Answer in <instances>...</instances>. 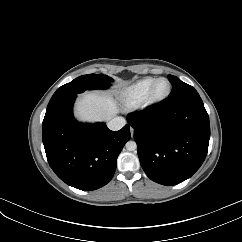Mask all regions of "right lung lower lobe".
<instances>
[{"instance_id": "right-lung-lower-lobe-1", "label": "right lung lower lobe", "mask_w": 242, "mask_h": 242, "mask_svg": "<svg viewBox=\"0 0 242 242\" xmlns=\"http://www.w3.org/2000/svg\"><path fill=\"white\" fill-rule=\"evenodd\" d=\"M77 94L50 102L42 124V139L50 167L66 184L91 191L106 185L117 157L130 139L126 124L111 131L104 123L82 124L73 116Z\"/></svg>"}]
</instances>
